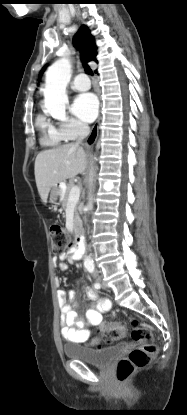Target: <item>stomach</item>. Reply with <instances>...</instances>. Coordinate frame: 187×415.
Segmentation results:
<instances>
[{
    "label": "stomach",
    "instance_id": "stomach-1",
    "mask_svg": "<svg viewBox=\"0 0 187 415\" xmlns=\"http://www.w3.org/2000/svg\"><path fill=\"white\" fill-rule=\"evenodd\" d=\"M61 187V184H56L51 188L49 202L53 207H57L60 203V196L62 194Z\"/></svg>",
    "mask_w": 187,
    "mask_h": 415
}]
</instances>
